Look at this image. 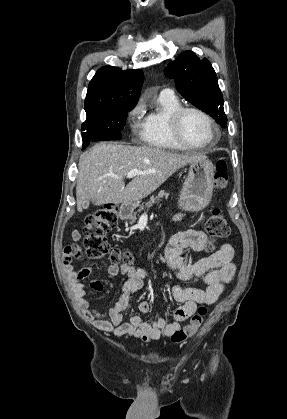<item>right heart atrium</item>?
Segmentation results:
<instances>
[{"instance_id":"1","label":"right heart atrium","mask_w":287,"mask_h":419,"mask_svg":"<svg viewBox=\"0 0 287 419\" xmlns=\"http://www.w3.org/2000/svg\"><path fill=\"white\" fill-rule=\"evenodd\" d=\"M143 112V106L138 102L129 112V119L131 123V129L135 133H139L141 127V116Z\"/></svg>"}]
</instances>
